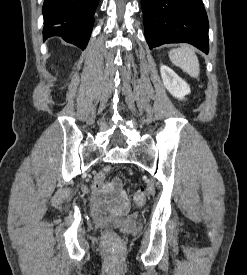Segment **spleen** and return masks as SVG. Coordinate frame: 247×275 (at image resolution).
Listing matches in <instances>:
<instances>
[{
    "label": "spleen",
    "mask_w": 247,
    "mask_h": 275,
    "mask_svg": "<svg viewBox=\"0 0 247 275\" xmlns=\"http://www.w3.org/2000/svg\"><path fill=\"white\" fill-rule=\"evenodd\" d=\"M169 58L174 65L180 67L191 77L197 78L199 76V61L194 50L189 46H182L170 50Z\"/></svg>",
    "instance_id": "1"
}]
</instances>
